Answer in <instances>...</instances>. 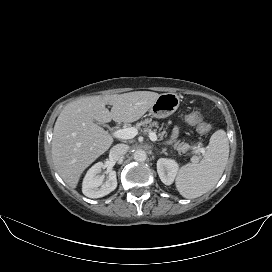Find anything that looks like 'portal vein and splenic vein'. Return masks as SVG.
I'll use <instances>...</instances> for the list:
<instances>
[{
    "instance_id": "obj_1",
    "label": "portal vein and splenic vein",
    "mask_w": 272,
    "mask_h": 272,
    "mask_svg": "<svg viewBox=\"0 0 272 272\" xmlns=\"http://www.w3.org/2000/svg\"><path fill=\"white\" fill-rule=\"evenodd\" d=\"M138 134V131L134 127H129V128H124V129H119L113 132V136L118 139H132ZM149 138L151 141H156L157 136L155 132L150 131L149 132ZM197 152L204 153L205 150L204 148L197 147L196 148Z\"/></svg>"
}]
</instances>
